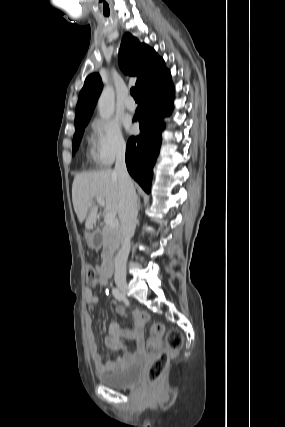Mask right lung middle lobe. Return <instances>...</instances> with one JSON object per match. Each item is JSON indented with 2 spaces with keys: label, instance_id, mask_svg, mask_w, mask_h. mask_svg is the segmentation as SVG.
Instances as JSON below:
<instances>
[{
  "label": "right lung middle lobe",
  "instance_id": "dd1d6c3e",
  "mask_svg": "<svg viewBox=\"0 0 285 427\" xmlns=\"http://www.w3.org/2000/svg\"><path fill=\"white\" fill-rule=\"evenodd\" d=\"M85 126L86 125L81 126L79 128H76V131H75V134H74V138H73V144H72V154L73 155L75 154V152H76V150H77V148L79 146V143H80L81 138H82L83 133H84Z\"/></svg>",
  "mask_w": 285,
  "mask_h": 427
}]
</instances>
